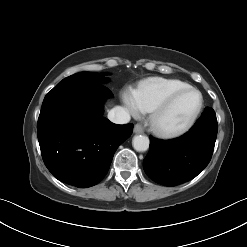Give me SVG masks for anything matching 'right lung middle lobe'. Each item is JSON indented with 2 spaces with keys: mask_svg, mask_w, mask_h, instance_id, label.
I'll list each match as a JSON object with an SVG mask.
<instances>
[{
  "mask_svg": "<svg viewBox=\"0 0 247 247\" xmlns=\"http://www.w3.org/2000/svg\"><path fill=\"white\" fill-rule=\"evenodd\" d=\"M104 74L97 73H77L71 75L69 77L64 78L61 82H59L56 86L68 85L73 83H98L102 84L108 81V78L103 77Z\"/></svg>",
  "mask_w": 247,
  "mask_h": 247,
  "instance_id": "dd1d6c3e",
  "label": "right lung middle lobe"
}]
</instances>
